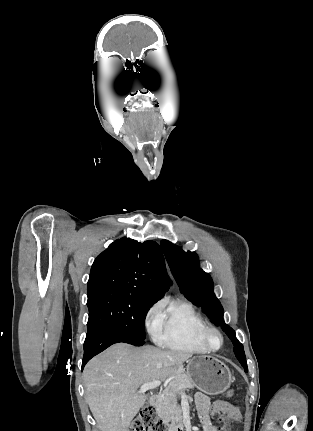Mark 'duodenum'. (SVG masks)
Listing matches in <instances>:
<instances>
[{
	"label": "duodenum",
	"mask_w": 313,
	"mask_h": 431,
	"mask_svg": "<svg viewBox=\"0 0 313 431\" xmlns=\"http://www.w3.org/2000/svg\"><path fill=\"white\" fill-rule=\"evenodd\" d=\"M157 401H158V396L157 395H153L151 397V400H150L151 404L152 405H156ZM171 431H183V427L181 425L173 426L171 428Z\"/></svg>",
	"instance_id": "obj_1"
}]
</instances>
